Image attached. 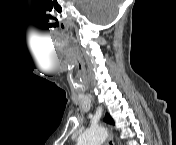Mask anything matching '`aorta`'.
Segmentation results:
<instances>
[{
    "label": "aorta",
    "instance_id": "762f6f07",
    "mask_svg": "<svg viewBox=\"0 0 176 145\" xmlns=\"http://www.w3.org/2000/svg\"><path fill=\"white\" fill-rule=\"evenodd\" d=\"M107 138V129L102 126L87 129L79 138V145H102Z\"/></svg>",
    "mask_w": 176,
    "mask_h": 145
}]
</instances>
